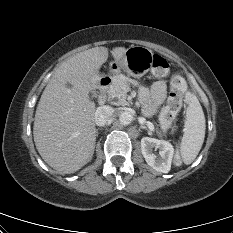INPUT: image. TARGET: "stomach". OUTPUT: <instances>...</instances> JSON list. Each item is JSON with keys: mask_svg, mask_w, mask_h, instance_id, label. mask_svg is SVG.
<instances>
[{"mask_svg": "<svg viewBox=\"0 0 233 233\" xmlns=\"http://www.w3.org/2000/svg\"><path fill=\"white\" fill-rule=\"evenodd\" d=\"M153 53L150 49L142 46H131L120 60L110 64V72L115 79L123 71L128 76L140 78L151 68Z\"/></svg>", "mask_w": 233, "mask_h": 233, "instance_id": "1", "label": "stomach"}]
</instances>
